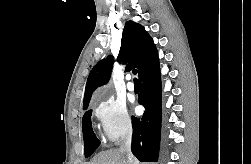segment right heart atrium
I'll list each match as a JSON object with an SVG mask.
<instances>
[{
	"label": "right heart atrium",
	"mask_w": 251,
	"mask_h": 164,
	"mask_svg": "<svg viewBox=\"0 0 251 164\" xmlns=\"http://www.w3.org/2000/svg\"><path fill=\"white\" fill-rule=\"evenodd\" d=\"M94 113L107 141L116 142L131 132L132 122L126 105L115 97L103 98Z\"/></svg>",
	"instance_id": "1"
}]
</instances>
